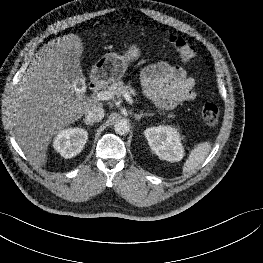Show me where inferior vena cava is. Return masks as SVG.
<instances>
[{"label": "inferior vena cava", "mask_w": 263, "mask_h": 263, "mask_svg": "<svg viewBox=\"0 0 263 263\" xmlns=\"http://www.w3.org/2000/svg\"><path fill=\"white\" fill-rule=\"evenodd\" d=\"M104 117V109L100 105H92L85 112V118L88 122H99Z\"/></svg>", "instance_id": "1"}]
</instances>
